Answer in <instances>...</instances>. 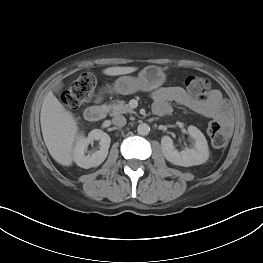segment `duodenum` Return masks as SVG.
<instances>
[{
	"label": "duodenum",
	"instance_id": "1",
	"mask_svg": "<svg viewBox=\"0 0 263 263\" xmlns=\"http://www.w3.org/2000/svg\"><path fill=\"white\" fill-rule=\"evenodd\" d=\"M106 116V108L101 104L88 107L84 112V117L89 122H98Z\"/></svg>",
	"mask_w": 263,
	"mask_h": 263
}]
</instances>
